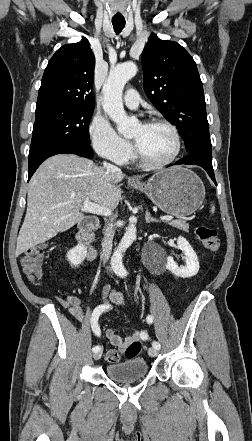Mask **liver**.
I'll return each instance as SVG.
<instances>
[{
  "label": "liver",
  "instance_id": "1",
  "mask_svg": "<svg viewBox=\"0 0 252 441\" xmlns=\"http://www.w3.org/2000/svg\"><path fill=\"white\" fill-rule=\"evenodd\" d=\"M121 172H107L91 160L72 154L48 158L32 176L27 211L19 231L16 255L41 244L84 219L85 199L114 209L121 199Z\"/></svg>",
  "mask_w": 252,
  "mask_h": 441
}]
</instances>
